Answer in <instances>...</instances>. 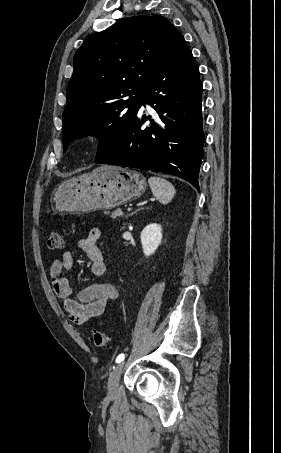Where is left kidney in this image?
Returning <instances> with one entry per match:
<instances>
[{"instance_id":"1","label":"left kidney","mask_w":281,"mask_h":453,"mask_svg":"<svg viewBox=\"0 0 281 453\" xmlns=\"http://www.w3.org/2000/svg\"><path fill=\"white\" fill-rule=\"evenodd\" d=\"M141 243L143 247V253L145 257H150L155 251H157L162 241V227L157 222H151L147 224V227L143 229L141 233Z\"/></svg>"}]
</instances>
